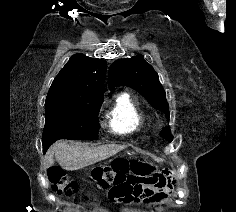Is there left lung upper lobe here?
<instances>
[{
    "label": "left lung upper lobe",
    "instance_id": "1",
    "mask_svg": "<svg viewBox=\"0 0 236 212\" xmlns=\"http://www.w3.org/2000/svg\"><path fill=\"white\" fill-rule=\"evenodd\" d=\"M108 77L110 89L127 86L138 91L154 108L163 111L169 120V106L158 74L142 57L115 61L109 68ZM160 134L169 142L173 139L169 127L164 128Z\"/></svg>",
    "mask_w": 236,
    "mask_h": 212
}]
</instances>
